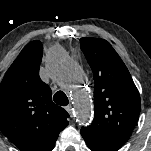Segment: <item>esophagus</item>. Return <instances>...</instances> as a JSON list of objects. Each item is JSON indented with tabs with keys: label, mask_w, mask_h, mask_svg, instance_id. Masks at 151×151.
<instances>
[{
	"label": "esophagus",
	"mask_w": 151,
	"mask_h": 151,
	"mask_svg": "<svg viewBox=\"0 0 151 151\" xmlns=\"http://www.w3.org/2000/svg\"><path fill=\"white\" fill-rule=\"evenodd\" d=\"M65 109L70 115H72V106L71 105L66 106Z\"/></svg>",
	"instance_id": "obj_1"
}]
</instances>
